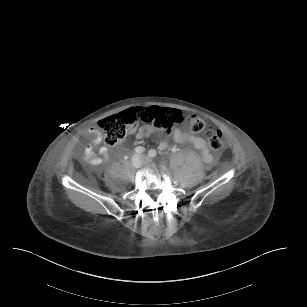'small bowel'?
I'll use <instances>...</instances> for the list:
<instances>
[{"instance_id":"small-bowel-1","label":"small bowel","mask_w":307,"mask_h":307,"mask_svg":"<svg viewBox=\"0 0 307 307\" xmlns=\"http://www.w3.org/2000/svg\"><path fill=\"white\" fill-rule=\"evenodd\" d=\"M151 130L152 129L150 127H141L137 132V137L144 138L149 135ZM88 133L93 136V140L85 148L84 161L92 165H98L107 161L109 149L105 146H100L102 138L101 132L97 128H91L88 130ZM172 136L178 143L192 144L201 152L203 160L206 163H210L212 161V156L208 145L202 137L179 128L172 131ZM167 147L168 143L166 141H162L159 144L160 150H165Z\"/></svg>"}]
</instances>
